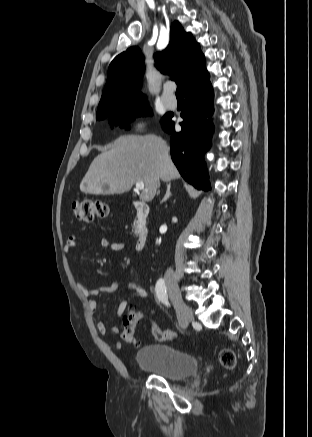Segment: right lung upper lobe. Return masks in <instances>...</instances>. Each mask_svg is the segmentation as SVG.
<instances>
[{
  "label": "right lung upper lobe",
  "mask_w": 312,
  "mask_h": 437,
  "mask_svg": "<svg viewBox=\"0 0 312 437\" xmlns=\"http://www.w3.org/2000/svg\"><path fill=\"white\" fill-rule=\"evenodd\" d=\"M154 59L157 68L164 74H173V80L183 82L185 90L208 75L199 44L178 21L171 25L168 47L155 54ZM143 73V55L138 47H131L116 56L108 69L97 117L128 104L145 103L140 93Z\"/></svg>",
  "instance_id": "cb5924a9"
}]
</instances>
